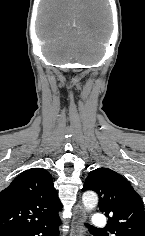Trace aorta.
<instances>
[{
  "mask_svg": "<svg viewBox=\"0 0 145 236\" xmlns=\"http://www.w3.org/2000/svg\"><path fill=\"white\" fill-rule=\"evenodd\" d=\"M82 201L85 209L90 211L96 207L98 203V196L95 192L87 191L83 194Z\"/></svg>",
  "mask_w": 145,
  "mask_h": 236,
  "instance_id": "aorta-1",
  "label": "aorta"
}]
</instances>
